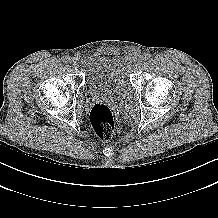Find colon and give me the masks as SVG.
Masks as SVG:
<instances>
[{
	"label": "colon",
	"mask_w": 218,
	"mask_h": 218,
	"mask_svg": "<svg viewBox=\"0 0 218 218\" xmlns=\"http://www.w3.org/2000/svg\"><path fill=\"white\" fill-rule=\"evenodd\" d=\"M89 121L96 137L101 141H108L114 132V114L104 104L95 105L89 114Z\"/></svg>",
	"instance_id": "1"
}]
</instances>
